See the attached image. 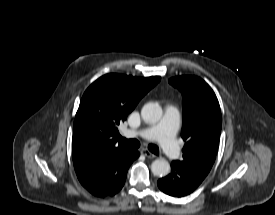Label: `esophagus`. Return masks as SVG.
Returning <instances> with one entry per match:
<instances>
[{
  "instance_id": "esophagus-1",
  "label": "esophagus",
  "mask_w": 275,
  "mask_h": 215,
  "mask_svg": "<svg viewBox=\"0 0 275 215\" xmlns=\"http://www.w3.org/2000/svg\"><path fill=\"white\" fill-rule=\"evenodd\" d=\"M141 154H143L144 156H146L147 158H156V155L151 153L150 151L146 150V149H142L141 150Z\"/></svg>"
}]
</instances>
